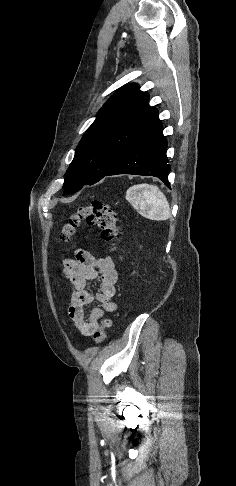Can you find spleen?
<instances>
[{
    "mask_svg": "<svg viewBox=\"0 0 236 486\" xmlns=\"http://www.w3.org/2000/svg\"><path fill=\"white\" fill-rule=\"evenodd\" d=\"M126 200L148 219L167 220L171 215L166 196L155 185L143 183L131 186L126 192Z\"/></svg>",
    "mask_w": 236,
    "mask_h": 486,
    "instance_id": "spleen-1",
    "label": "spleen"
}]
</instances>
